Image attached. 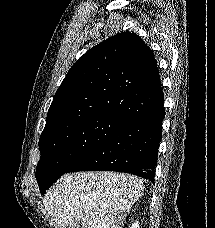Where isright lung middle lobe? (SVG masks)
Instances as JSON below:
<instances>
[{"mask_svg": "<svg viewBox=\"0 0 215 228\" xmlns=\"http://www.w3.org/2000/svg\"><path fill=\"white\" fill-rule=\"evenodd\" d=\"M126 120L95 116L41 134L36 179L41 194Z\"/></svg>", "mask_w": 215, "mask_h": 228, "instance_id": "right-lung-middle-lobe-1", "label": "right lung middle lobe"}]
</instances>
